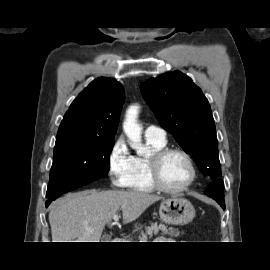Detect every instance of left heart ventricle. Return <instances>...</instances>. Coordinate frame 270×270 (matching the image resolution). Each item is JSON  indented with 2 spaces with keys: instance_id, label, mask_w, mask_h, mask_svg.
I'll return each instance as SVG.
<instances>
[{
  "instance_id": "left-heart-ventricle-1",
  "label": "left heart ventricle",
  "mask_w": 270,
  "mask_h": 270,
  "mask_svg": "<svg viewBox=\"0 0 270 270\" xmlns=\"http://www.w3.org/2000/svg\"><path fill=\"white\" fill-rule=\"evenodd\" d=\"M191 172L186 159L178 154L167 155L160 164V176L163 183L171 188L184 185L190 178Z\"/></svg>"
}]
</instances>
